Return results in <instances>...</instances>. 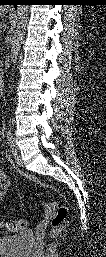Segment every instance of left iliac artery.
Returning <instances> with one entry per match:
<instances>
[{"instance_id": "44dca946", "label": "left iliac artery", "mask_w": 106, "mask_h": 257, "mask_svg": "<svg viewBox=\"0 0 106 257\" xmlns=\"http://www.w3.org/2000/svg\"><path fill=\"white\" fill-rule=\"evenodd\" d=\"M6 138H7V144H8L9 146H11L12 143H13V135H12V133H11L10 130L7 131V133H6Z\"/></svg>"}]
</instances>
